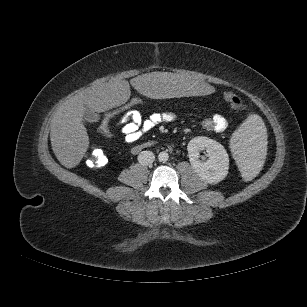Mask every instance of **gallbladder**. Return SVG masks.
Returning <instances> with one entry per match:
<instances>
[{"mask_svg": "<svg viewBox=\"0 0 307 307\" xmlns=\"http://www.w3.org/2000/svg\"><path fill=\"white\" fill-rule=\"evenodd\" d=\"M84 119L88 122H96L99 120V115L92 109L86 108L84 112Z\"/></svg>", "mask_w": 307, "mask_h": 307, "instance_id": "obj_1", "label": "gallbladder"}]
</instances>
